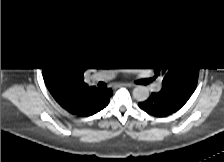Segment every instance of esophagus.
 Returning <instances> with one entry per match:
<instances>
[{
  "label": "esophagus",
  "instance_id": "34e87169",
  "mask_svg": "<svg viewBox=\"0 0 224 162\" xmlns=\"http://www.w3.org/2000/svg\"><path fill=\"white\" fill-rule=\"evenodd\" d=\"M126 86H128V87H132V85H130V84H127Z\"/></svg>",
  "mask_w": 224,
  "mask_h": 162
}]
</instances>
